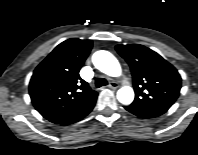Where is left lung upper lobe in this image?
<instances>
[{
	"label": "left lung upper lobe",
	"instance_id": "1",
	"mask_svg": "<svg viewBox=\"0 0 198 155\" xmlns=\"http://www.w3.org/2000/svg\"><path fill=\"white\" fill-rule=\"evenodd\" d=\"M117 52L127 61L133 76L135 100L132 106L167 111L181 89L177 70L159 54L139 44L117 45Z\"/></svg>",
	"mask_w": 198,
	"mask_h": 155
}]
</instances>
